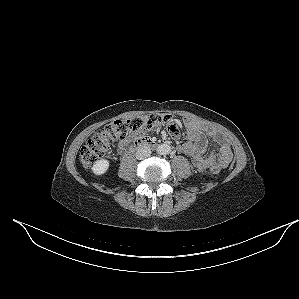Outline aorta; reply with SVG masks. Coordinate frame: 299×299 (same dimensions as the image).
I'll use <instances>...</instances> for the list:
<instances>
[{"label":"aorta","mask_w":299,"mask_h":299,"mask_svg":"<svg viewBox=\"0 0 299 299\" xmlns=\"http://www.w3.org/2000/svg\"><path fill=\"white\" fill-rule=\"evenodd\" d=\"M170 151H171L170 146L167 144L159 145L157 148V152L161 155L169 154Z\"/></svg>","instance_id":"1"}]
</instances>
